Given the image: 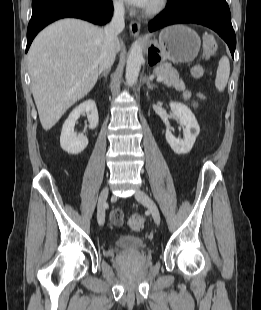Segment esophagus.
<instances>
[{
    "instance_id": "1",
    "label": "esophagus",
    "mask_w": 261,
    "mask_h": 310,
    "mask_svg": "<svg viewBox=\"0 0 261 310\" xmlns=\"http://www.w3.org/2000/svg\"><path fill=\"white\" fill-rule=\"evenodd\" d=\"M132 36L137 37L140 34V23L138 21H131L129 25Z\"/></svg>"
}]
</instances>
